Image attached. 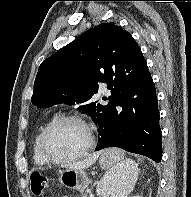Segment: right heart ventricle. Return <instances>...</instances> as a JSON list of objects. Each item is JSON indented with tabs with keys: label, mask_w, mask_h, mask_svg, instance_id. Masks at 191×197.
<instances>
[{
	"label": "right heart ventricle",
	"mask_w": 191,
	"mask_h": 197,
	"mask_svg": "<svg viewBox=\"0 0 191 197\" xmlns=\"http://www.w3.org/2000/svg\"><path fill=\"white\" fill-rule=\"evenodd\" d=\"M50 121L47 120L45 123L42 124V126L40 127L38 133L35 136V139L33 141V145H32V154H33V161L34 164L37 166H46L49 164V162L47 160H45L42 155L40 154L39 151V146H38V142H39V136L41 134V131L43 130V128L45 127V125Z\"/></svg>",
	"instance_id": "right-heart-ventricle-1"
}]
</instances>
